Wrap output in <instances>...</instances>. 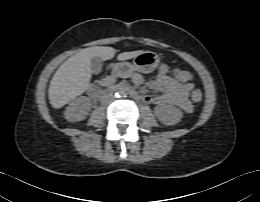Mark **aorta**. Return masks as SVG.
I'll return each mask as SVG.
<instances>
[{"label": "aorta", "mask_w": 260, "mask_h": 202, "mask_svg": "<svg viewBox=\"0 0 260 202\" xmlns=\"http://www.w3.org/2000/svg\"><path fill=\"white\" fill-rule=\"evenodd\" d=\"M118 96L121 97V96H126V92L121 90L119 93H118Z\"/></svg>", "instance_id": "obj_1"}]
</instances>
